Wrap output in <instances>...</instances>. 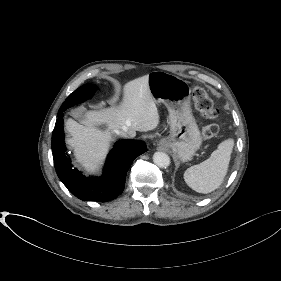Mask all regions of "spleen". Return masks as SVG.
<instances>
[{"label": "spleen", "instance_id": "3e777b00", "mask_svg": "<svg viewBox=\"0 0 281 281\" xmlns=\"http://www.w3.org/2000/svg\"><path fill=\"white\" fill-rule=\"evenodd\" d=\"M233 145V139L223 141L207 160L188 168L184 173L187 185L204 194L217 189L227 174Z\"/></svg>", "mask_w": 281, "mask_h": 281}]
</instances>
